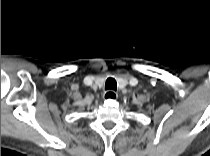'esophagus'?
<instances>
[{
	"label": "esophagus",
	"instance_id": "1",
	"mask_svg": "<svg viewBox=\"0 0 210 156\" xmlns=\"http://www.w3.org/2000/svg\"><path fill=\"white\" fill-rule=\"evenodd\" d=\"M117 97H118V94L111 90H108L103 93V98L105 100H114V99H117Z\"/></svg>",
	"mask_w": 210,
	"mask_h": 156
}]
</instances>
